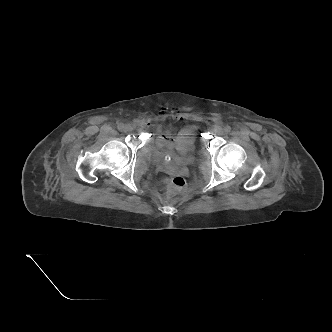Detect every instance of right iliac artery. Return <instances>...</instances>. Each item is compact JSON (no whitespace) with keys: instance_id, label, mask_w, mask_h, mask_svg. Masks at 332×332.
<instances>
[{"instance_id":"1","label":"right iliac artery","mask_w":332,"mask_h":332,"mask_svg":"<svg viewBox=\"0 0 332 332\" xmlns=\"http://www.w3.org/2000/svg\"><path fill=\"white\" fill-rule=\"evenodd\" d=\"M117 127H118L119 130H122L123 127H124V124L123 123H119Z\"/></svg>"}]
</instances>
